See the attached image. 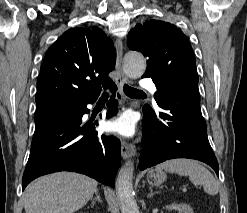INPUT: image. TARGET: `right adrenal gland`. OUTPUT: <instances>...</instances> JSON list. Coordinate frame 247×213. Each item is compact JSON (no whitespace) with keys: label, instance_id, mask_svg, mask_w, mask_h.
<instances>
[{"label":"right adrenal gland","instance_id":"obj_1","mask_svg":"<svg viewBox=\"0 0 247 213\" xmlns=\"http://www.w3.org/2000/svg\"><path fill=\"white\" fill-rule=\"evenodd\" d=\"M96 201H99L100 203H102V199L99 195L98 189L95 191V197L91 200L92 205H94Z\"/></svg>","mask_w":247,"mask_h":213}]
</instances>
